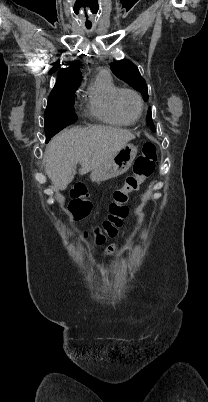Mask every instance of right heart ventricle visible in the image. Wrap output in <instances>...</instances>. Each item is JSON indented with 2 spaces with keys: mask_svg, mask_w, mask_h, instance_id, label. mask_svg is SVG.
I'll return each mask as SVG.
<instances>
[{
  "mask_svg": "<svg viewBox=\"0 0 208 402\" xmlns=\"http://www.w3.org/2000/svg\"><path fill=\"white\" fill-rule=\"evenodd\" d=\"M119 88L113 83L108 72H100L87 92L88 108L94 119L106 126L127 127L131 122L119 117L114 109L113 100Z\"/></svg>",
  "mask_w": 208,
  "mask_h": 402,
  "instance_id": "1",
  "label": "right heart ventricle"
}]
</instances>
